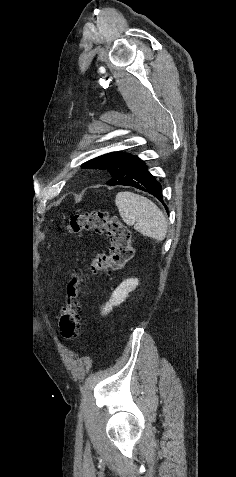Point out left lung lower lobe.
Returning a JSON list of instances; mask_svg holds the SVG:
<instances>
[{"mask_svg": "<svg viewBox=\"0 0 236 477\" xmlns=\"http://www.w3.org/2000/svg\"><path fill=\"white\" fill-rule=\"evenodd\" d=\"M118 185L131 186L148 192L161 201L167 210V206L164 204L162 197L161 185L149 173L144 161L141 159L136 161L134 168L128 178Z\"/></svg>", "mask_w": 236, "mask_h": 477, "instance_id": "left-lung-lower-lobe-1", "label": "left lung lower lobe"}]
</instances>
